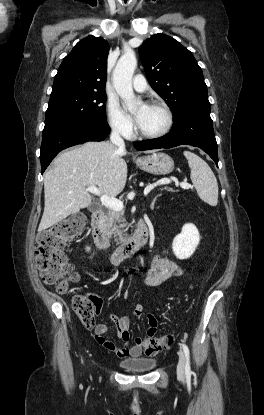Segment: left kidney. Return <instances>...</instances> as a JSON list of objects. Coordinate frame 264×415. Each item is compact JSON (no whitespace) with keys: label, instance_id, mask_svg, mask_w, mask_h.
<instances>
[{"label":"left kidney","instance_id":"1","mask_svg":"<svg viewBox=\"0 0 264 415\" xmlns=\"http://www.w3.org/2000/svg\"><path fill=\"white\" fill-rule=\"evenodd\" d=\"M199 242L198 229L194 224L187 223L182 227L181 233L173 239V253L178 259H187L195 252Z\"/></svg>","mask_w":264,"mask_h":415}]
</instances>
